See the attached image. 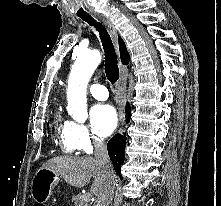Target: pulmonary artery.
<instances>
[{
  "mask_svg": "<svg viewBox=\"0 0 221 206\" xmlns=\"http://www.w3.org/2000/svg\"><path fill=\"white\" fill-rule=\"evenodd\" d=\"M89 91L97 100H106L108 98L107 88L103 85L93 84L90 86Z\"/></svg>",
  "mask_w": 221,
  "mask_h": 206,
  "instance_id": "1",
  "label": "pulmonary artery"
}]
</instances>
